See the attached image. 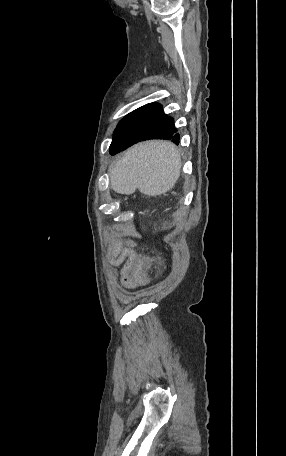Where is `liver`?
Instances as JSON below:
<instances>
[{"label":"liver","mask_w":286,"mask_h":456,"mask_svg":"<svg viewBox=\"0 0 286 456\" xmlns=\"http://www.w3.org/2000/svg\"><path fill=\"white\" fill-rule=\"evenodd\" d=\"M181 171L180 154L169 141H145L128 149L110 170L111 188L157 196L171 190Z\"/></svg>","instance_id":"obj_1"}]
</instances>
